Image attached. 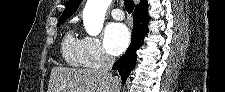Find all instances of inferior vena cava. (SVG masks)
I'll list each match as a JSON object with an SVG mask.
<instances>
[{
  "instance_id": "602c4592",
  "label": "inferior vena cava",
  "mask_w": 225,
  "mask_h": 92,
  "mask_svg": "<svg viewBox=\"0 0 225 92\" xmlns=\"http://www.w3.org/2000/svg\"><path fill=\"white\" fill-rule=\"evenodd\" d=\"M114 62L115 59L112 56L104 53L101 57V70L104 73L111 74L110 71L112 69Z\"/></svg>"
}]
</instances>
